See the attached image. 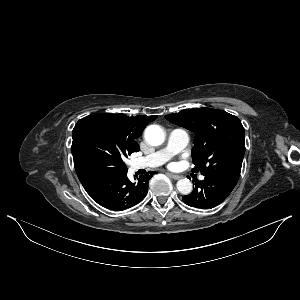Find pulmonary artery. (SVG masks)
<instances>
[{
	"instance_id": "1",
	"label": "pulmonary artery",
	"mask_w": 300,
	"mask_h": 300,
	"mask_svg": "<svg viewBox=\"0 0 300 300\" xmlns=\"http://www.w3.org/2000/svg\"><path fill=\"white\" fill-rule=\"evenodd\" d=\"M189 143V135L186 130L181 128L173 129L167 139L166 146L155 153L135 159L131 165L134 170L153 168L162 165L171 155L181 151ZM204 179L203 176L200 177Z\"/></svg>"
}]
</instances>
